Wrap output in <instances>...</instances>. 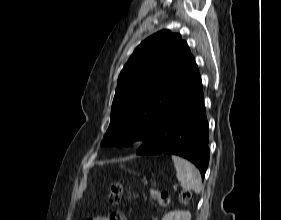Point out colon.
Wrapping results in <instances>:
<instances>
[{"instance_id":"colon-1","label":"colon","mask_w":281,"mask_h":220,"mask_svg":"<svg viewBox=\"0 0 281 220\" xmlns=\"http://www.w3.org/2000/svg\"><path fill=\"white\" fill-rule=\"evenodd\" d=\"M122 191H123V187L121 183L114 182L111 184L108 193V201L110 202V204L116 206L120 203ZM150 195L161 206H165L169 203V195L167 192L159 191L157 189H150ZM192 198H193L192 193L189 191L181 192L179 195L180 202L184 204L190 203ZM108 220H126V218L122 212L114 211L110 214Z\"/></svg>"}]
</instances>
